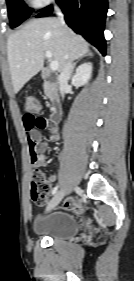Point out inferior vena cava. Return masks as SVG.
<instances>
[{"label":"inferior vena cava","mask_w":134,"mask_h":281,"mask_svg":"<svg viewBox=\"0 0 134 281\" xmlns=\"http://www.w3.org/2000/svg\"><path fill=\"white\" fill-rule=\"evenodd\" d=\"M55 11H56V14L58 16V20L60 21V23L62 25H65V21H64V15L63 13L61 12V10L59 9L58 6H55ZM73 63L71 60H68L66 62V64L64 65L59 77H58V80H59V88H60V93H61V96L64 97L65 95V91L68 87V81L71 77V74H72V68H73Z\"/></svg>","instance_id":"602c4592"}]
</instances>
